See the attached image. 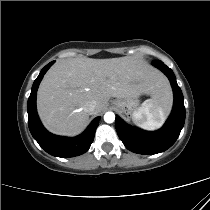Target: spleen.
Here are the masks:
<instances>
[{
    "mask_svg": "<svg viewBox=\"0 0 210 210\" xmlns=\"http://www.w3.org/2000/svg\"><path fill=\"white\" fill-rule=\"evenodd\" d=\"M169 104L170 101H164L162 98L148 99L133 113L132 121L145 130H156L165 120Z\"/></svg>",
    "mask_w": 210,
    "mask_h": 210,
    "instance_id": "1",
    "label": "spleen"
}]
</instances>
